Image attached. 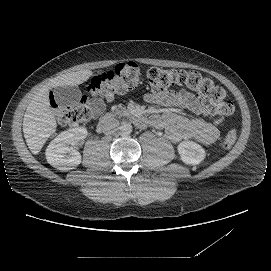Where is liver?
Wrapping results in <instances>:
<instances>
[{
  "label": "liver",
  "instance_id": "6515ba94",
  "mask_svg": "<svg viewBox=\"0 0 271 271\" xmlns=\"http://www.w3.org/2000/svg\"><path fill=\"white\" fill-rule=\"evenodd\" d=\"M92 75L93 72L88 69L62 74L50 79L34 95L23 118L24 138L32 154H38L48 138L56 132L57 123L50 109L49 91L56 87L77 86Z\"/></svg>",
  "mask_w": 271,
  "mask_h": 271
}]
</instances>
